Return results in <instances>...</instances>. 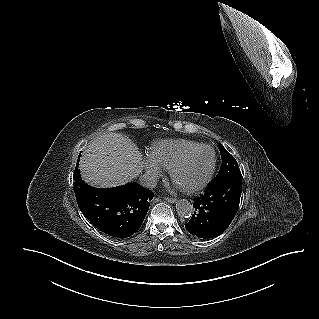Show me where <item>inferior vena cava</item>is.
<instances>
[{"mask_svg": "<svg viewBox=\"0 0 319 319\" xmlns=\"http://www.w3.org/2000/svg\"><path fill=\"white\" fill-rule=\"evenodd\" d=\"M140 184L145 188H154L157 185V177L150 173H145L140 178Z\"/></svg>", "mask_w": 319, "mask_h": 319, "instance_id": "1", "label": "inferior vena cava"}]
</instances>
